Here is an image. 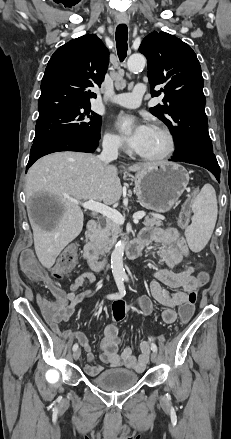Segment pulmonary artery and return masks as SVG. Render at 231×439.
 <instances>
[{
	"label": "pulmonary artery",
	"mask_w": 231,
	"mask_h": 439,
	"mask_svg": "<svg viewBox=\"0 0 231 439\" xmlns=\"http://www.w3.org/2000/svg\"><path fill=\"white\" fill-rule=\"evenodd\" d=\"M146 87L144 84H137L131 92L120 93L111 98V102L126 108H136L140 105Z\"/></svg>",
	"instance_id": "1"
}]
</instances>
